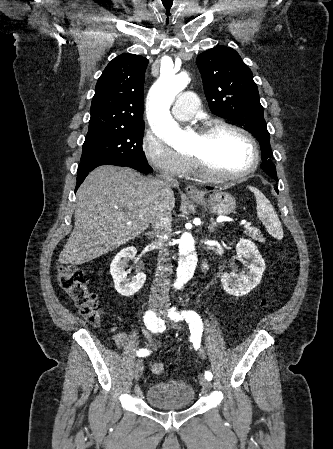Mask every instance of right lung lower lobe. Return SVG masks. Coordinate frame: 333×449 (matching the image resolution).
Returning <instances> with one entry per match:
<instances>
[{
	"mask_svg": "<svg viewBox=\"0 0 333 449\" xmlns=\"http://www.w3.org/2000/svg\"><path fill=\"white\" fill-rule=\"evenodd\" d=\"M101 165L127 166V167H131L137 171H140L142 173H151L153 171V169L148 164L147 165L129 164V163L121 162V161H101V162L80 163L79 167H78L76 190L78 189L80 184L84 181L85 177L89 174V172H91L93 169H95L96 167L101 166Z\"/></svg>",
	"mask_w": 333,
	"mask_h": 449,
	"instance_id": "1",
	"label": "right lung lower lobe"
}]
</instances>
